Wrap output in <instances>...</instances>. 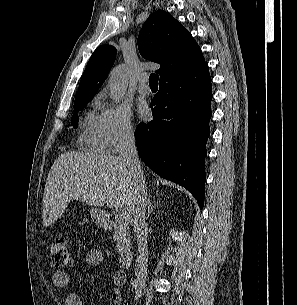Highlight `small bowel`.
I'll list each match as a JSON object with an SVG mask.
<instances>
[{
    "mask_svg": "<svg viewBox=\"0 0 297 305\" xmlns=\"http://www.w3.org/2000/svg\"><path fill=\"white\" fill-rule=\"evenodd\" d=\"M103 253L100 250H90L85 255V264L89 267H97L103 262ZM113 281L117 286L125 282V273L120 269L113 271ZM70 283L69 276L64 271H56L52 276V284L55 288L63 290L68 288ZM113 305H123V294L119 288L112 293ZM65 305H83L81 296L76 292H70L66 295Z\"/></svg>",
    "mask_w": 297,
    "mask_h": 305,
    "instance_id": "c3829d8e",
    "label": "small bowel"
}]
</instances>
